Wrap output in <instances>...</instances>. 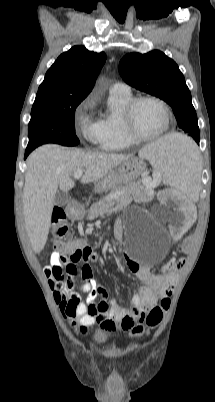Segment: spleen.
<instances>
[{
  "mask_svg": "<svg viewBox=\"0 0 215 402\" xmlns=\"http://www.w3.org/2000/svg\"><path fill=\"white\" fill-rule=\"evenodd\" d=\"M139 155L149 160L164 182L178 186L179 193H188L187 202H192L199 188V166L190 133L166 135L143 148Z\"/></svg>",
  "mask_w": 215,
  "mask_h": 402,
  "instance_id": "spleen-1",
  "label": "spleen"
}]
</instances>
